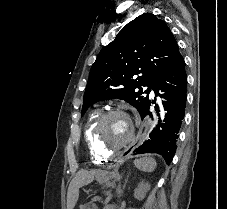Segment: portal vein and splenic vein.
<instances>
[{
	"mask_svg": "<svg viewBox=\"0 0 227 209\" xmlns=\"http://www.w3.org/2000/svg\"><path fill=\"white\" fill-rule=\"evenodd\" d=\"M97 199L99 200L100 198H99V197L97 198L96 196H93V197H92V200H93V201H96Z\"/></svg>",
	"mask_w": 227,
	"mask_h": 209,
	"instance_id": "1",
	"label": "portal vein and splenic vein"
}]
</instances>
